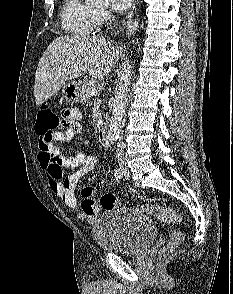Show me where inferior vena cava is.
I'll return each mask as SVG.
<instances>
[{"label":"inferior vena cava","instance_id":"obj_1","mask_svg":"<svg viewBox=\"0 0 233 294\" xmlns=\"http://www.w3.org/2000/svg\"><path fill=\"white\" fill-rule=\"evenodd\" d=\"M116 153H117L118 162L122 164L124 162V143L122 141V138H120L119 141L117 142Z\"/></svg>","mask_w":233,"mask_h":294}]
</instances>
